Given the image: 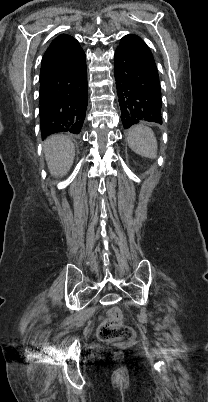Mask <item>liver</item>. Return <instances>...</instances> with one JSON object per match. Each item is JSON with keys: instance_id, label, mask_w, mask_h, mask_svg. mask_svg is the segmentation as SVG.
<instances>
[{"instance_id": "6515ba94", "label": "liver", "mask_w": 208, "mask_h": 402, "mask_svg": "<svg viewBox=\"0 0 208 402\" xmlns=\"http://www.w3.org/2000/svg\"><path fill=\"white\" fill-rule=\"evenodd\" d=\"M45 160L52 176H65L69 172L74 156L73 142L67 136H51L44 144Z\"/></svg>"}]
</instances>
